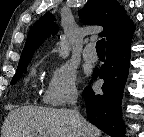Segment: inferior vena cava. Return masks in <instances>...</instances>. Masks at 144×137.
Listing matches in <instances>:
<instances>
[{"label": "inferior vena cava", "instance_id": "obj_1", "mask_svg": "<svg viewBox=\"0 0 144 137\" xmlns=\"http://www.w3.org/2000/svg\"><path fill=\"white\" fill-rule=\"evenodd\" d=\"M77 97H78L77 94H75V95H73V97L70 100L71 105L74 107L72 112H73L74 119L76 122L77 130H78L77 137H86V130H85L84 123L82 121L80 113L77 110V107L75 106V104L77 102Z\"/></svg>", "mask_w": 144, "mask_h": 137}]
</instances>
